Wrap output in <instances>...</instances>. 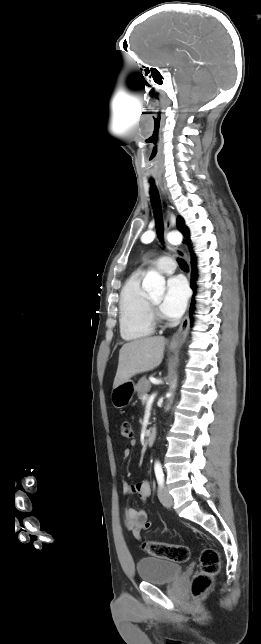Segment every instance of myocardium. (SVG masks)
Here are the masks:
<instances>
[{"mask_svg":"<svg viewBox=\"0 0 261 644\" xmlns=\"http://www.w3.org/2000/svg\"><path fill=\"white\" fill-rule=\"evenodd\" d=\"M149 307H150V313H151L153 322L163 321L164 317L160 313L158 306L150 298H149Z\"/></svg>","mask_w":261,"mask_h":644,"instance_id":"1","label":"myocardium"}]
</instances>
